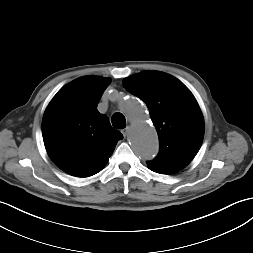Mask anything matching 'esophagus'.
<instances>
[{"label": "esophagus", "instance_id": "esophagus-1", "mask_svg": "<svg viewBox=\"0 0 253 253\" xmlns=\"http://www.w3.org/2000/svg\"><path fill=\"white\" fill-rule=\"evenodd\" d=\"M129 129H130L129 127H126L122 130V134L124 135V137L128 135Z\"/></svg>", "mask_w": 253, "mask_h": 253}]
</instances>
